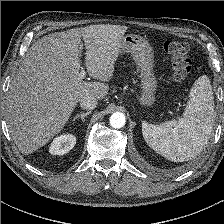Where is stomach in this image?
Here are the masks:
<instances>
[{"label": "stomach", "mask_w": 224, "mask_h": 224, "mask_svg": "<svg viewBox=\"0 0 224 224\" xmlns=\"http://www.w3.org/2000/svg\"><path fill=\"white\" fill-rule=\"evenodd\" d=\"M122 52L130 53L140 71V101L144 106L155 102L157 80L153 72V49L149 42L140 35L128 34L121 39Z\"/></svg>", "instance_id": "obj_1"}]
</instances>
